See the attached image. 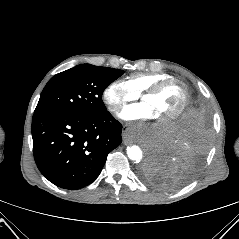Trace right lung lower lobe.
<instances>
[{"mask_svg":"<svg viewBox=\"0 0 239 239\" xmlns=\"http://www.w3.org/2000/svg\"><path fill=\"white\" fill-rule=\"evenodd\" d=\"M121 131L122 125L108 111L33 115L35 162L43 176L58 187L82 188L99 176L108 153L122 141Z\"/></svg>","mask_w":239,"mask_h":239,"instance_id":"right-lung-lower-lobe-1","label":"right lung lower lobe"}]
</instances>
